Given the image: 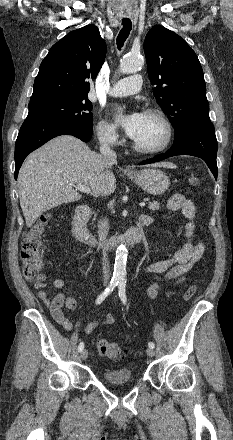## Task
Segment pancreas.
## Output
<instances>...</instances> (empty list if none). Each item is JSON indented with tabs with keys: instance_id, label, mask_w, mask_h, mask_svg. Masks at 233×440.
I'll list each match as a JSON object with an SVG mask.
<instances>
[{
	"instance_id": "1",
	"label": "pancreas",
	"mask_w": 233,
	"mask_h": 440,
	"mask_svg": "<svg viewBox=\"0 0 233 440\" xmlns=\"http://www.w3.org/2000/svg\"><path fill=\"white\" fill-rule=\"evenodd\" d=\"M148 209L151 211H157L160 209V205L157 201L149 202Z\"/></svg>"
}]
</instances>
